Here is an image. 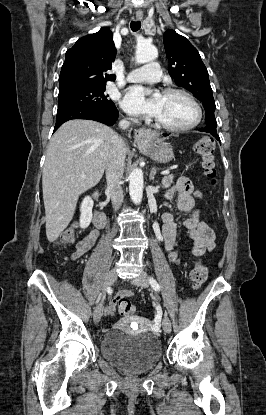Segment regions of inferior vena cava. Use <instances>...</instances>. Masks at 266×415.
Returning <instances> with one entry per match:
<instances>
[{
  "instance_id": "1",
  "label": "inferior vena cava",
  "mask_w": 266,
  "mask_h": 415,
  "mask_svg": "<svg viewBox=\"0 0 266 415\" xmlns=\"http://www.w3.org/2000/svg\"><path fill=\"white\" fill-rule=\"evenodd\" d=\"M129 126L130 122L127 120H121L119 123L121 129H127ZM125 157L126 148L124 140L115 134L112 139V150L106 165L107 190L110 193L112 205L115 210H117L123 202L121 179L124 173Z\"/></svg>"
}]
</instances>
